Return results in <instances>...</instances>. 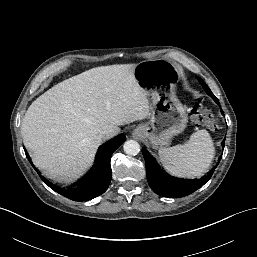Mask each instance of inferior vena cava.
<instances>
[{"mask_svg": "<svg viewBox=\"0 0 257 257\" xmlns=\"http://www.w3.org/2000/svg\"><path fill=\"white\" fill-rule=\"evenodd\" d=\"M116 134H118V131L115 130V129H109V130H106V131H103L100 133V137L101 139L103 140H107V139H110L112 138L113 136H115Z\"/></svg>", "mask_w": 257, "mask_h": 257, "instance_id": "inferior-vena-cava-1", "label": "inferior vena cava"}]
</instances>
